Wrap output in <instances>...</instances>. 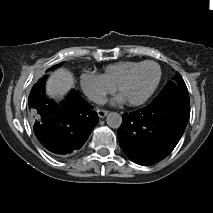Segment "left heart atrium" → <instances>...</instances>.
Segmentation results:
<instances>
[{"instance_id": "39dd6f15", "label": "left heart atrium", "mask_w": 213, "mask_h": 213, "mask_svg": "<svg viewBox=\"0 0 213 213\" xmlns=\"http://www.w3.org/2000/svg\"><path fill=\"white\" fill-rule=\"evenodd\" d=\"M113 102L118 103V104H122V103H126V100H125V98L121 94H118L114 98Z\"/></svg>"}]
</instances>
